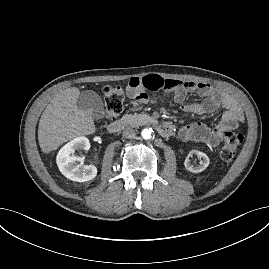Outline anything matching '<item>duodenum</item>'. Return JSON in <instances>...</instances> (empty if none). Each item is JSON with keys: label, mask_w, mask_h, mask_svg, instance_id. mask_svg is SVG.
<instances>
[{"label": "duodenum", "mask_w": 269, "mask_h": 269, "mask_svg": "<svg viewBox=\"0 0 269 269\" xmlns=\"http://www.w3.org/2000/svg\"><path fill=\"white\" fill-rule=\"evenodd\" d=\"M151 123H155L153 120H150ZM124 127L123 121H114L107 126V129L110 133L115 134L119 132ZM156 129L158 133L164 137L171 136L173 134V127L167 123L156 124Z\"/></svg>", "instance_id": "410a0bca"}]
</instances>
